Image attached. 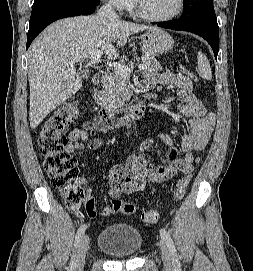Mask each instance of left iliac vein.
Segmentation results:
<instances>
[{"label":"left iliac vein","instance_id":"left-iliac-vein-1","mask_svg":"<svg viewBox=\"0 0 253 271\" xmlns=\"http://www.w3.org/2000/svg\"><path fill=\"white\" fill-rule=\"evenodd\" d=\"M160 248L164 266L166 268H171L172 267L171 253L169 251L167 244L163 240L160 241Z\"/></svg>","mask_w":253,"mask_h":271}]
</instances>
